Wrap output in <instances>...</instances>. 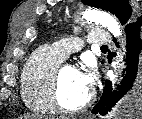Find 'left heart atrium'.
Returning a JSON list of instances; mask_svg holds the SVG:
<instances>
[{
    "label": "left heart atrium",
    "instance_id": "left-heart-atrium-1",
    "mask_svg": "<svg viewBox=\"0 0 142 119\" xmlns=\"http://www.w3.org/2000/svg\"><path fill=\"white\" fill-rule=\"evenodd\" d=\"M78 77L82 86L87 90L91 91L94 86L95 73L92 69H85L78 71Z\"/></svg>",
    "mask_w": 142,
    "mask_h": 119
}]
</instances>
